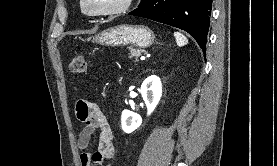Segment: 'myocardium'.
Masks as SVG:
<instances>
[{
	"label": "myocardium",
	"instance_id": "obj_1",
	"mask_svg": "<svg viewBox=\"0 0 277 166\" xmlns=\"http://www.w3.org/2000/svg\"><path fill=\"white\" fill-rule=\"evenodd\" d=\"M132 1L133 0H121L116 5H112L95 11H90L85 7L86 0H79V7H80V11L88 17L114 16V15H120L128 11L132 5Z\"/></svg>",
	"mask_w": 277,
	"mask_h": 166
}]
</instances>
